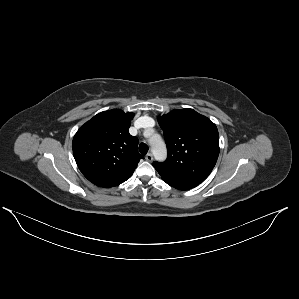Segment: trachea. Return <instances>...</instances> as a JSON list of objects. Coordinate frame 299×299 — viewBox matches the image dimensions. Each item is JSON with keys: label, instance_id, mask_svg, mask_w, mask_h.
Instances as JSON below:
<instances>
[{"label": "trachea", "instance_id": "obj_1", "mask_svg": "<svg viewBox=\"0 0 299 299\" xmlns=\"http://www.w3.org/2000/svg\"><path fill=\"white\" fill-rule=\"evenodd\" d=\"M149 148L145 143L139 145V151L142 155H145L148 152Z\"/></svg>", "mask_w": 299, "mask_h": 299}]
</instances>
